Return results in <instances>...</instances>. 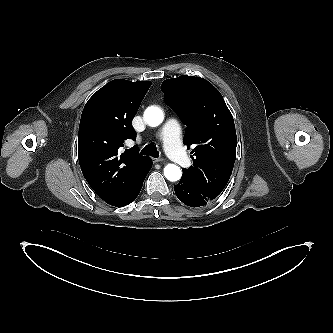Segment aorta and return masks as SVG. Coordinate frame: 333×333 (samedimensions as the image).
<instances>
[{
    "label": "aorta",
    "mask_w": 333,
    "mask_h": 333,
    "mask_svg": "<svg viewBox=\"0 0 333 333\" xmlns=\"http://www.w3.org/2000/svg\"><path fill=\"white\" fill-rule=\"evenodd\" d=\"M145 121L149 126L156 127L163 121V112L160 108L151 106L145 110ZM165 177L172 182L178 181L181 178L182 171L175 164H168L164 168Z\"/></svg>",
    "instance_id": "762f6f07"
}]
</instances>
